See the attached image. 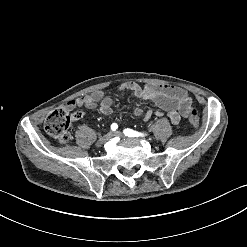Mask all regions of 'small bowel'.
<instances>
[{
  "mask_svg": "<svg viewBox=\"0 0 247 247\" xmlns=\"http://www.w3.org/2000/svg\"><path fill=\"white\" fill-rule=\"evenodd\" d=\"M117 91L122 93L125 91L131 92L136 98L142 100H150L154 102L159 110L154 113L146 112L144 119L149 120L153 114L161 116L162 111L167 112L170 121L177 124L180 121L181 114H184L186 121H191L196 118V109L191 106V98L186 90L173 85H157L148 84L140 86L135 82H124L117 86ZM113 99L106 96L102 90H96L89 95L70 100L64 104V109L72 111L76 108L85 107L88 109H98L105 115L113 113ZM189 107V108H188ZM188 108V109H187ZM75 120L81 119L84 112L78 111L75 113ZM143 114L141 107L134 109V115L140 116Z\"/></svg>",
  "mask_w": 247,
  "mask_h": 247,
  "instance_id": "obj_1",
  "label": "small bowel"
}]
</instances>
